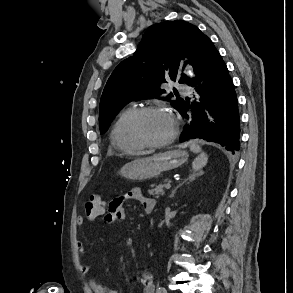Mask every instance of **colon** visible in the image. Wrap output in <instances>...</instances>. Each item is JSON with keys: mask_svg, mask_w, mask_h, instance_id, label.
I'll list each match as a JSON object with an SVG mask.
<instances>
[{"mask_svg": "<svg viewBox=\"0 0 293 293\" xmlns=\"http://www.w3.org/2000/svg\"><path fill=\"white\" fill-rule=\"evenodd\" d=\"M105 201L99 194L91 195L84 205L85 215L88 219L94 220L103 214L106 209Z\"/></svg>", "mask_w": 293, "mask_h": 293, "instance_id": "1", "label": "colon"}]
</instances>
